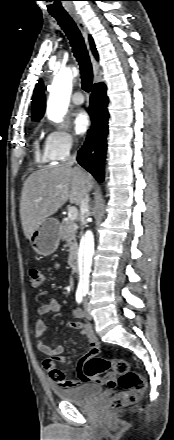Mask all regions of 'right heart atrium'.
<instances>
[{"instance_id": "1", "label": "right heart atrium", "mask_w": 174, "mask_h": 440, "mask_svg": "<svg viewBox=\"0 0 174 440\" xmlns=\"http://www.w3.org/2000/svg\"><path fill=\"white\" fill-rule=\"evenodd\" d=\"M45 148L51 161L62 162L74 151L75 138L65 129L53 128L46 135Z\"/></svg>"}]
</instances>
